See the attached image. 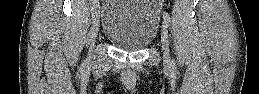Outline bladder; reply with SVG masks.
I'll use <instances>...</instances> for the list:
<instances>
[{"mask_svg": "<svg viewBox=\"0 0 259 94\" xmlns=\"http://www.w3.org/2000/svg\"><path fill=\"white\" fill-rule=\"evenodd\" d=\"M159 7L149 0H108L102 11V33L116 47L139 51L155 39Z\"/></svg>", "mask_w": 259, "mask_h": 94, "instance_id": "obj_1", "label": "bladder"}]
</instances>
